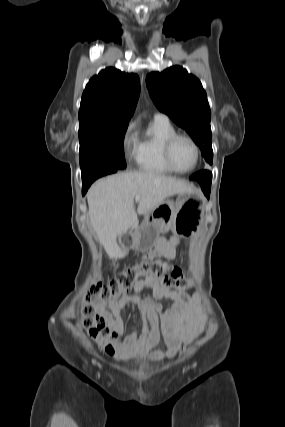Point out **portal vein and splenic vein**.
Segmentation results:
<instances>
[{
    "mask_svg": "<svg viewBox=\"0 0 285 427\" xmlns=\"http://www.w3.org/2000/svg\"><path fill=\"white\" fill-rule=\"evenodd\" d=\"M139 200H140V196H136L135 197V202L137 203V202H139Z\"/></svg>",
    "mask_w": 285,
    "mask_h": 427,
    "instance_id": "portal-vein-and-splenic-vein-1",
    "label": "portal vein and splenic vein"
}]
</instances>
